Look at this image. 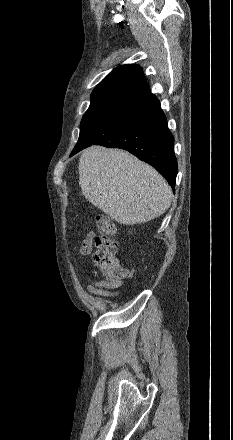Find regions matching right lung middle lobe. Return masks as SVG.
I'll list each match as a JSON object with an SVG mask.
<instances>
[{
    "label": "right lung middle lobe",
    "mask_w": 233,
    "mask_h": 440,
    "mask_svg": "<svg viewBox=\"0 0 233 440\" xmlns=\"http://www.w3.org/2000/svg\"><path fill=\"white\" fill-rule=\"evenodd\" d=\"M124 105L115 102L91 103L81 120L78 142L103 125L110 117L121 110Z\"/></svg>",
    "instance_id": "obj_1"
}]
</instances>
